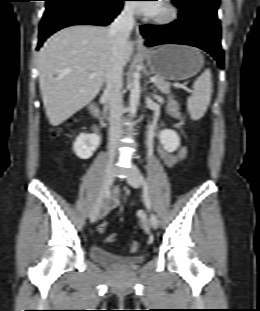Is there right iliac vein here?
I'll list each match as a JSON object with an SVG mask.
<instances>
[{
  "label": "right iliac vein",
  "mask_w": 260,
  "mask_h": 311,
  "mask_svg": "<svg viewBox=\"0 0 260 311\" xmlns=\"http://www.w3.org/2000/svg\"><path fill=\"white\" fill-rule=\"evenodd\" d=\"M115 159H116L115 153L114 152L110 153L109 159L106 164L105 171H104L101 194L99 195L98 199L96 200L90 212V221L92 223L97 220L100 214V211H101L104 195L109 190L110 186L112 185L113 176L115 172V165H114Z\"/></svg>",
  "instance_id": "obj_1"
}]
</instances>
